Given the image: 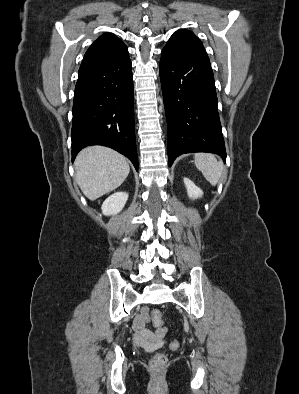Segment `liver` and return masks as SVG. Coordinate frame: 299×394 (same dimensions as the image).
Masks as SVG:
<instances>
[{"label":"liver","instance_id":"liver-1","mask_svg":"<svg viewBox=\"0 0 299 394\" xmlns=\"http://www.w3.org/2000/svg\"><path fill=\"white\" fill-rule=\"evenodd\" d=\"M74 167L80 189L92 201L119 187L130 171L126 157L102 146L83 149Z\"/></svg>","mask_w":299,"mask_h":394}]
</instances>
